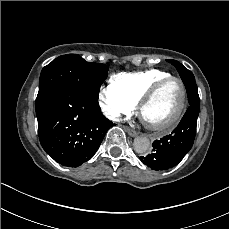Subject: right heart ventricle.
I'll list each match as a JSON object with an SVG mask.
<instances>
[{
	"label": "right heart ventricle",
	"instance_id": "1",
	"mask_svg": "<svg viewBox=\"0 0 229 229\" xmlns=\"http://www.w3.org/2000/svg\"><path fill=\"white\" fill-rule=\"evenodd\" d=\"M171 76L167 71L150 68L141 71L120 72L114 76V83L129 97L138 102L142 94L158 80Z\"/></svg>",
	"mask_w": 229,
	"mask_h": 229
}]
</instances>
